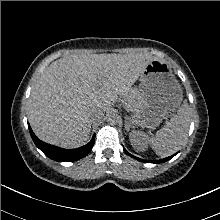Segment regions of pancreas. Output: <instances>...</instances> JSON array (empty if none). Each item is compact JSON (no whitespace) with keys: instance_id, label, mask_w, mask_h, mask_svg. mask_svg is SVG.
Returning a JSON list of instances; mask_svg holds the SVG:
<instances>
[{"instance_id":"cf45deb5","label":"pancreas","mask_w":220,"mask_h":220,"mask_svg":"<svg viewBox=\"0 0 220 220\" xmlns=\"http://www.w3.org/2000/svg\"><path fill=\"white\" fill-rule=\"evenodd\" d=\"M140 98L141 96L139 91L137 89H132L124 96V103L126 107L130 110L138 104Z\"/></svg>"}]
</instances>
